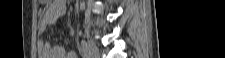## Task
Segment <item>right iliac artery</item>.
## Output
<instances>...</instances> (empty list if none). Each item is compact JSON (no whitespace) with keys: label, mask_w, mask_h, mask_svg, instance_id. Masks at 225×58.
I'll return each mask as SVG.
<instances>
[{"label":"right iliac artery","mask_w":225,"mask_h":58,"mask_svg":"<svg viewBox=\"0 0 225 58\" xmlns=\"http://www.w3.org/2000/svg\"><path fill=\"white\" fill-rule=\"evenodd\" d=\"M80 52H81L83 58L89 57L88 51H87V48H86V44H85L84 41L81 42Z\"/></svg>","instance_id":"right-iliac-artery-1"}]
</instances>
